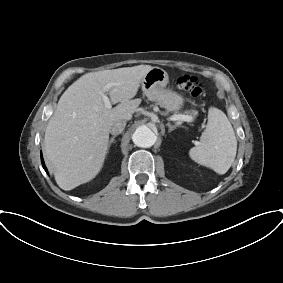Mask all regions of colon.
I'll list each match as a JSON object with an SVG mask.
<instances>
[{
    "label": "colon",
    "mask_w": 283,
    "mask_h": 283,
    "mask_svg": "<svg viewBox=\"0 0 283 283\" xmlns=\"http://www.w3.org/2000/svg\"><path fill=\"white\" fill-rule=\"evenodd\" d=\"M175 84L179 89L188 92L191 96L195 98H200L203 95L202 83L194 76H178L175 80Z\"/></svg>",
    "instance_id": "5ec220e1"
}]
</instances>
